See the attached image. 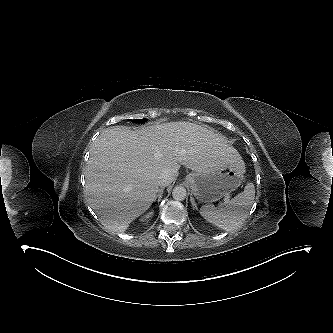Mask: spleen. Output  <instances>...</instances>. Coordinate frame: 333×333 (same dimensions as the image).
Listing matches in <instances>:
<instances>
[{
	"mask_svg": "<svg viewBox=\"0 0 333 333\" xmlns=\"http://www.w3.org/2000/svg\"><path fill=\"white\" fill-rule=\"evenodd\" d=\"M255 187L248 183L242 193L232 198L225 207H215L213 204L200 208L201 216L225 231H232L240 227L248 216L254 202Z\"/></svg>",
	"mask_w": 333,
	"mask_h": 333,
	"instance_id": "obj_1",
	"label": "spleen"
}]
</instances>
